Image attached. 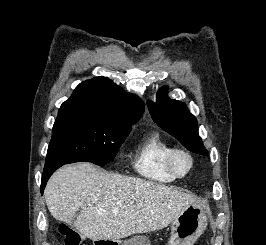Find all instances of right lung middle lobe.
Segmentation results:
<instances>
[{
    "label": "right lung middle lobe",
    "instance_id": "obj_1",
    "mask_svg": "<svg viewBox=\"0 0 266 245\" xmlns=\"http://www.w3.org/2000/svg\"><path fill=\"white\" fill-rule=\"evenodd\" d=\"M131 125L91 113L58 116L44 168L79 161L106 165L115 157Z\"/></svg>",
    "mask_w": 266,
    "mask_h": 245
}]
</instances>
